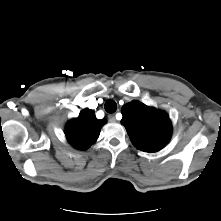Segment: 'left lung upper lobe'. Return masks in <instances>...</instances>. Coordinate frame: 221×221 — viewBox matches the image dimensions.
I'll return each mask as SVG.
<instances>
[{
    "label": "left lung upper lobe",
    "mask_w": 221,
    "mask_h": 221,
    "mask_svg": "<svg viewBox=\"0 0 221 221\" xmlns=\"http://www.w3.org/2000/svg\"><path fill=\"white\" fill-rule=\"evenodd\" d=\"M132 144L145 152H157L171 137L172 126L168 115L139 101L125 104L121 109Z\"/></svg>",
    "instance_id": "obj_1"
}]
</instances>
